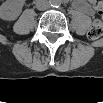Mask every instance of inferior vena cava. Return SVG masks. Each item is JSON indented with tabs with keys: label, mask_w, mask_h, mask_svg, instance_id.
Segmentation results:
<instances>
[{
	"label": "inferior vena cava",
	"mask_w": 103,
	"mask_h": 103,
	"mask_svg": "<svg viewBox=\"0 0 103 103\" xmlns=\"http://www.w3.org/2000/svg\"><path fill=\"white\" fill-rule=\"evenodd\" d=\"M49 7H50V4L47 0H38L36 2V8L40 11L47 10L49 9Z\"/></svg>",
	"instance_id": "obj_1"
}]
</instances>
